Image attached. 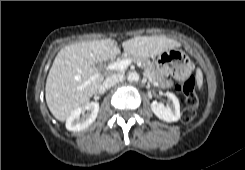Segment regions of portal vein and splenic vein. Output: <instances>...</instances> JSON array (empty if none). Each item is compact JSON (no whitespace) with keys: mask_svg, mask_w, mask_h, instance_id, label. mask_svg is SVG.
I'll return each mask as SVG.
<instances>
[{"mask_svg":"<svg viewBox=\"0 0 245 170\" xmlns=\"http://www.w3.org/2000/svg\"><path fill=\"white\" fill-rule=\"evenodd\" d=\"M130 64H131V60L130 59H122L120 61H116V62L110 63L107 66L106 69L107 70H120V71H122V70L126 69ZM137 65L139 67H142L141 63H137ZM95 77L96 76H93L92 79H94Z\"/></svg>","mask_w":245,"mask_h":170,"instance_id":"1","label":"portal vein and splenic vein"}]
</instances>
